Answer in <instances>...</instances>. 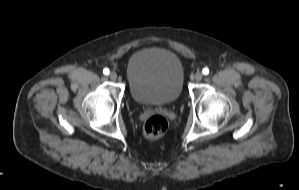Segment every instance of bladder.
<instances>
[{
    "mask_svg": "<svg viewBox=\"0 0 299 190\" xmlns=\"http://www.w3.org/2000/svg\"><path fill=\"white\" fill-rule=\"evenodd\" d=\"M125 78L132 98L141 105L174 102L184 85L179 55L168 48L150 46L138 50L126 63Z\"/></svg>",
    "mask_w": 299,
    "mask_h": 190,
    "instance_id": "31cf9c89",
    "label": "bladder"
}]
</instances>
